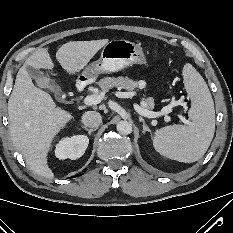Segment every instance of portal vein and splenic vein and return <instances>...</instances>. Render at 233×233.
<instances>
[{"label": "portal vein and splenic vein", "mask_w": 233, "mask_h": 233, "mask_svg": "<svg viewBox=\"0 0 233 233\" xmlns=\"http://www.w3.org/2000/svg\"><path fill=\"white\" fill-rule=\"evenodd\" d=\"M104 99V93L101 92V93H98V94H92V95H88L84 98L83 100V103L85 105H88V106H91V105H97L99 104L102 100ZM181 104V102L179 101H172L171 104L165 106L162 108L161 112L159 113H156V112H153V111H149L143 107H140L138 106L137 107V112L144 116V117H148V118H155L159 115H166L168 113H170L173 109V106H176V105H179ZM184 105H186V103H184ZM178 118L183 121V122H186L185 118L181 115V114H178ZM165 120L166 121H170V117L166 116L165 117Z\"/></svg>", "instance_id": "18ae733b"}]
</instances>
